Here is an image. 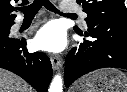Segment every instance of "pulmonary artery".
Returning <instances> with one entry per match:
<instances>
[{
    "label": "pulmonary artery",
    "instance_id": "1",
    "mask_svg": "<svg viewBox=\"0 0 127 92\" xmlns=\"http://www.w3.org/2000/svg\"><path fill=\"white\" fill-rule=\"evenodd\" d=\"M61 11L65 12V13L78 12V13H81V16L83 18H86V14L82 13L80 11L79 7H77L71 3H68V2H61Z\"/></svg>",
    "mask_w": 127,
    "mask_h": 92
}]
</instances>
